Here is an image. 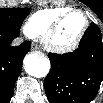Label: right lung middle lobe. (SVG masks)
I'll list each match as a JSON object with an SVG mask.
<instances>
[{"label":"right lung middle lobe","instance_id":"obj_1","mask_svg":"<svg viewBox=\"0 0 103 103\" xmlns=\"http://www.w3.org/2000/svg\"><path fill=\"white\" fill-rule=\"evenodd\" d=\"M30 11L29 8H0V28L20 32V27Z\"/></svg>","mask_w":103,"mask_h":103}]
</instances>
